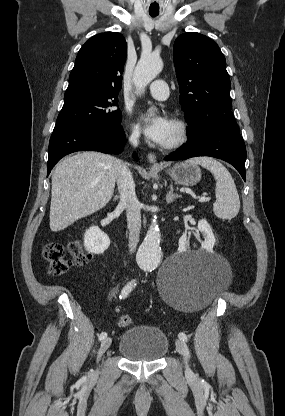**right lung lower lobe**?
<instances>
[{
    "instance_id": "98d812e1",
    "label": "right lung lower lobe",
    "mask_w": 285,
    "mask_h": 416,
    "mask_svg": "<svg viewBox=\"0 0 285 416\" xmlns=\"http://www.w3.org/2000/svg\"><path fill=\"white\" fill-rule=\"evenodd\" d=\"M125 133L116 128L98 126L55 127L49 142L47 176L55 164L65 155L76 151H99L118 154L123 151ZM135 159L137 156L133 155Z\"/></svg>"
}]
</instances>
